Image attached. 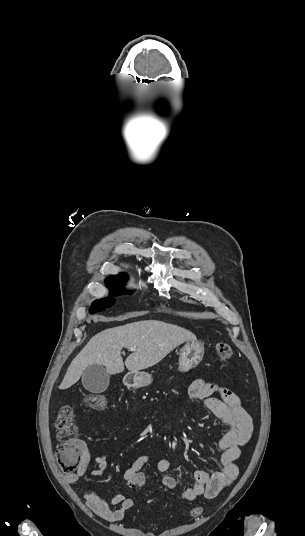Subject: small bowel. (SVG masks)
<instances>
[{"label":"small bowel","instance_id":"obj_1","mask_svg":"<svg viewBox=\"0 0 305 536\" xmlns=\"http://www.w3.org/2000/svg\"><path fill=\"white\" fill-rule=\"evenodd\" d=\"M189 398L193 401H203L206 408L213 411L216 416L228 427L227 432L218 440V447L222 451L220 468L215 473L197 471L194 473V485L182 492L184 500L194 501L200 497L215 498L220 492L230 486L238 476V467L235 461L241 455V448L251 439L253 423L251 416L241 404L240 399L230 390L203 379L194 380L188 390ZM81 456L74 473L66 476L70 484H76L84 475L91 460L95 463L93 476L103 474L108 468L106 455L92 459L89 451L82 441H77ZM149 457H138L131 467L124 472V481L127 487H132L135 469H144ZM157 470L165 475L162 484L168 488L176 486V479L169 475L171 461L160 458L156 464ZM84 499L87 506L101 519L108 522L122 520L126 511L131 509L134 501L123 494H117L112 502L116 508H111L105 499L92 489L86 488Z\"/></svg>","mask_w":305,"mask_h":536}]
</instances>
